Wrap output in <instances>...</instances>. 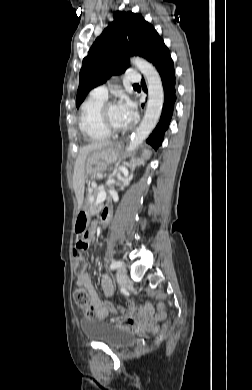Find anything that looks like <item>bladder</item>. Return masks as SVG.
<instances>
[{
  "instance_id": "1",
  "label": "bladder",
  "mask_w": 252,
  "mask_h": 390,
  "mask_svg": "<svg viewBox=\"0 0 252 390\" xmlns=\"http://www.w3.org/2000/svg\"><path fill=\"white\" fill-rule=\"evenodd\" d=\"M81 327L89 339L111 348H123L135 341L129 331L97 319L82 321Z\"/></svg>"
}]
</instances>
